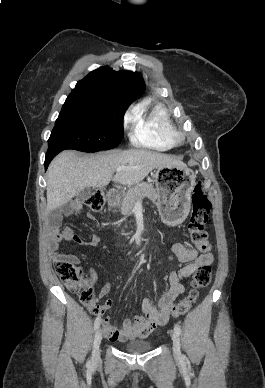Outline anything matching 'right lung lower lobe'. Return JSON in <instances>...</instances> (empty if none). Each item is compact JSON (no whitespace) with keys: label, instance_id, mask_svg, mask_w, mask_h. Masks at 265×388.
<instances>
[{"label":"right lung lower lobe","instance_id":"1","mask_svg":"<svg viewBox=\"0 0 265 388\" xmlns=\"http://www.w3.org/2000/svg\"><path fill=\"white\" fill-rule=\"evenodd\" d=\"M60 151H52V152H47L46 158H45V170L48 168L49 163L51 160L59 153Z\"/></svg>","mask_w":265,"mask_h":388}]
</instances>
